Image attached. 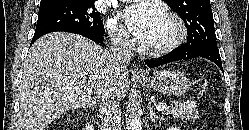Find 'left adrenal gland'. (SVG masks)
I'll list each match as a JSON object with an SVG mask.
<instances>
[{
	"label": "left adrenal gland",
	"instance_id": "obj_1",
	"mask_svg": "<svg viewBox=\"0 0 249 130\" xmlns=\"http://www.w3.org/2000/svg\"><path fill=\"white\" fill-rule=\"evenodd\" d=\"M150 120L151 122H155V120H165L163 116H158L155 114L152 107H150Z\"/></svg>",
	"mask_w": 249,
	"mask_h": 130
}]
</instances>
